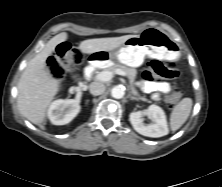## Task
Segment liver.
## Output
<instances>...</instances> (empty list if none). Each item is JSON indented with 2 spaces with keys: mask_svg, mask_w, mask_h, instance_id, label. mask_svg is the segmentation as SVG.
Listing matches in <instances>:
<instances>
[{
  "mask_svg": "<svg viewBox=\"0 0 222 187\" xmlns=\"http://www.w3.org/2000/svg\"><path fill=\"white\" fill-rule=\"evenodd\" d=\"M120 37L87 39L80 43L82 53L92 54L98 51H112L129 38ZM68 35L62 32L51 38L44 48L26 66L18 83L17 105L22 116L33 124L41 125L45 121L46 111L59 91L60 82L46 70V59L56 46L66 41Z\"/></svg>",
  "mask_w": 222,
  "mask_h": 187,
  "instance_id": "1",
  "label": "liver"
}]
</instances>
